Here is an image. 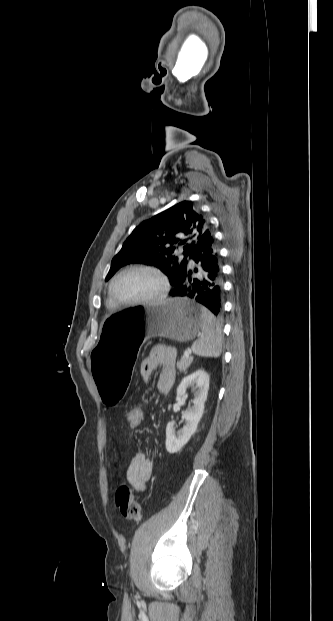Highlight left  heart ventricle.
I'll list each match as a JSON object with an SVG mask.
<instances>
[{"mask_svg":"<svg viewBox=\"0 0 333 621\" xmlns=\"http://www.w3.org/2000/svg\"><path fill=\"white\" fill-rule=\"evenodd\" d=\"M161 288L160 280L153 273L132 271L115 282L114 293L122 301H133L153 297Z\"/></svg>","mask_w":333,"mask_h":621,"instance_id":"left-heart-ventricle-1","label":"left heart ventricle"}]
</instances>
